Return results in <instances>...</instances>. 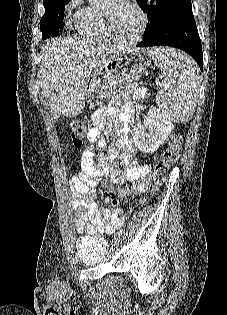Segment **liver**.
<instances>
[{"instance_id": "1", "label": "liver", "mask_w": 227, "mask_h": 315, "mask_svg": "<svg viewBox=\"0 0 227 315\" xmlns=\"http://www.w3.org/2000/svg\"><path fill=\"white\" fill-rule=\"evenodd\" d=\"M41 49V94L49 100L54 120L61 114L78 116L85 107L90 77L100 74L111 57L120 54L114 45L69 36L48 40Z\"/></svg>"}]
</instances>
